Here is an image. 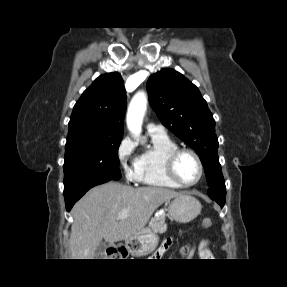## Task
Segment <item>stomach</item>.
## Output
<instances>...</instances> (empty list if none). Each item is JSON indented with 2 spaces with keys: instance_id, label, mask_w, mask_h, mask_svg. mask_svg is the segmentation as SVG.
I'll list each match as a JSON object with an SVG mask.
<instances>
[{
  "instance_id": "obj_1",
  "label": "stomach",
  "mask_w": 287,
  "mask_h": 287,
  "mask_svg": "<svg viewBox=\"0 0 287 287\" xmlns=\"http://www.w3.org/2000/svg\"><path fill=\"white\" fill-rule=\"evenodd\" d=\"M202 210L200 202L193 196L181 194L169 203L168 216L177 223L194 220ZM159 237L149 228H144L125 240V246L133 256H144L153 252Z\"/></svg>"
}]
</instances>
